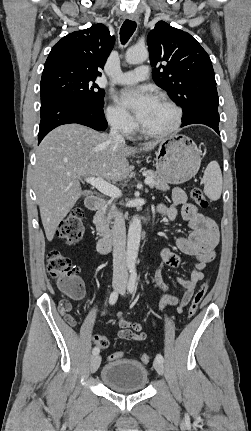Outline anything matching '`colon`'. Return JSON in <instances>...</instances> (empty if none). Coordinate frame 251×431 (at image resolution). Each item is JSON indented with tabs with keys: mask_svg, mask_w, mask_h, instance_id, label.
Listing matches in <instances>:
<instances>
[{
	"mask_svg": "<svg viewBox=\"0 0 251 431\" xmlns=\"http://www.w3.org/2000/svg\"><path fill=\"white\" fill-rule=\"evenodd\" d=\"M191 197L200 207H208V201L201 189L193 188L191 191ZM83 218L84 213L82 209L76 208L72 210L59 225L57 236L66 244H74L78 242L83 235ZM47 270L50 277L56 280L60 290L74 299H80L83 297L84 286L77 275L78 268L72 264L71 260L67 256L56 249L50 250L47 257ZM206 291L207 284L204 283L192 299L188 310V318H192L196 314ZM71 307V303L68 300L61 301L59 305V309L65 319L70 324H73L74 320L69 314ZM93 342L96 344V347L100 352H103L109 345L108 339L100 335L93 336ZM123 356V351L110 353L108 355V360L110 362H115L118 358ZM140 359L142 363L147 364L150 362L151 357L149 354L144 353L141 355Z\"/></svg>",
	"mask_w": 251,
	"mask_h": 431,
	"instance_id": "1",
	"label": "colon"
}]
</instances>
